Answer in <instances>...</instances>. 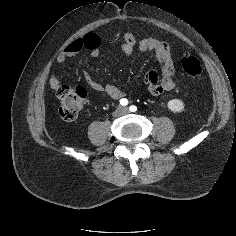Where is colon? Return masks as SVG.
Instances as JSON below:
<instances>
[{
  "label": "colon",
  "mask_w": 236,
  "mask_h": 236,
  "mask_svg": "<svg viewBox=\"0 0 236 236\" xmlns=\"http://www.w3.org/2000/svg\"><path fill=\"white\" fill-rule=\"evenodd\" d=\"M183 74L188 78L197 79L203 72L201 62L194 56H185L181 62ZM86 94L80 88L60 86L57 90L59 101L58 111L60 117L65 121L74 120L81 111Z\"/></svg>",
  "instance_id": "colon-1"
}]
</instances>
